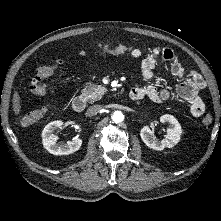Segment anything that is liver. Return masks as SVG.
Instances as JSON below:
<instances>
[{"mask_svg": "<svg viewBox=\"0 0 221 221\" xmlns=\"http://www.w3.org/2000/svg\"><path fill=\"white\" fill-rule=\"evenodd\" d=\"M12 102H13V110L15 114H19L21 110V105H20V96L18 92L14 93Z\"/></svg>", "mask_w": 221, "mask_h": 221, "instance_id": "1", "label": "liver"}]
</instances>
